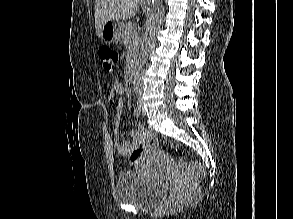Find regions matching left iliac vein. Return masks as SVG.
<instances>
[{
	"label": "left iliac vein",
	"instance_id": "left-iliac-vein-1",
	"mask_svg": "<svg viewBox=\"0 0 293 219\" xmlns=\"http://www.w3.org/2000/svg\"><path fill=\"white\" fill-rule=\"evenodd\" d=\"M139 107H140V110H141L142 115L145 116L146 115V111L143 108V105H142V102L141 101H139Z\"/></svg>",
	"mask_w": 293,
	"mask_h": 219
}]
</instances>
